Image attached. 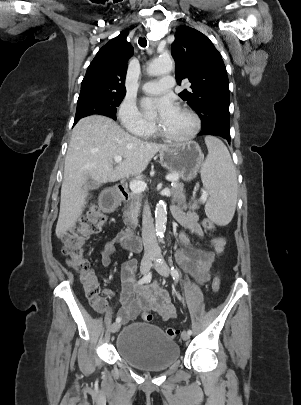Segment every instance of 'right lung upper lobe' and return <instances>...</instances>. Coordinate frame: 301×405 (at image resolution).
<instances>
[{
    "mask_svg": "<svg viewBox=\"0 0 301 405\" xmlns=\"http://www.w3.org/2000/svg\"><path fill=\"white\" fill-rule=\"evenodd\" d=\"M127 31L110 40L96 54L81 83L80 95L87 93L124 94L127 61L133 47L126 41Z\"/></svg>",
    "mask_w": 301,
    "mask_h": 405,
    "instance_id": "1",
    "label": "right lung upper lobe"
}]
</instances>
